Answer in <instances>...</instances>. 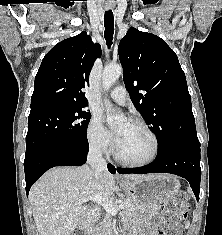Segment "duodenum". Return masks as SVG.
I'll use <instances>...</instances> for the list:
<instances>
[{"mask_svg":"<svg viewBox=\"0 0 222 235\" xmlns=\"http://www.w3.org/2000/svg\"><path fill=\"white\" fill-rule=\"evenodd\" d=\"M98 213H99V209L94 208L92 210L91 217H95ZM81 228H82L83 232L85 233V235H91L90 231H89V225L87 223L82 224Z\"/></svg>","mask_w":222,"mask_h":235,"instance_id":"1","label":"duodenum"}]
</instances>
